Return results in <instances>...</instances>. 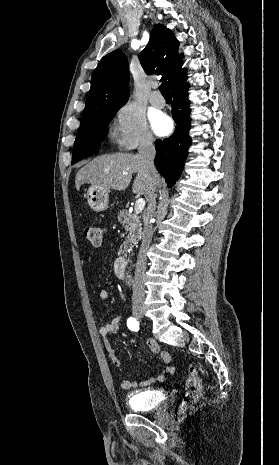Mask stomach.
<instances>
[{"label": "stomach", "instance_id": "obj_1", "mask_svg": "<svg viewBox=\"0 0 279 465\" xmlns=\"http://www.w3.org/2000/svg\"><path fill=\"white\" fill-rule=\"evenodd\" d=\"M108 189L99 186H90L86 193L87 203L95 212H101L107 209L109 202Z\"/></svg>", "mask_w": 279, "mask_h": 465}]
</instances>
